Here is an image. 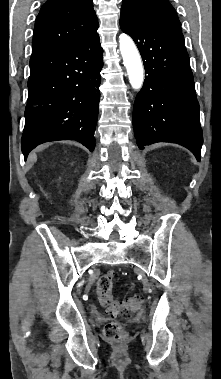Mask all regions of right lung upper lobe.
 Listing matches in <instances>:
<instances>
[{"mask_svg": "<svg viewBox=\"0 0 221 379\" xmlns=\"http://www.w3.org/2000/svg\"><path fill=\"white\" fill-rule=\"evenodd\" d=\"M98 26L92 0H47L35 21L30 60L75 44Z\"/></svg>", "mask_w": 221, "mask_h": 379, "instance_id": "1", "label": "right lung upper lobe"}]
</instances>
